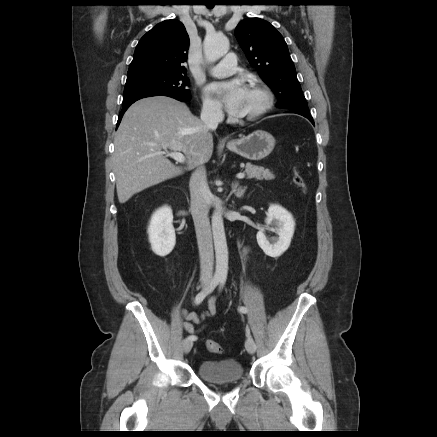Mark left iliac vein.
<instances>
[{
    "instance_id": "left-iliac-vein-1",
    "label": "left iliac vein",
    "mask_w": 437,
    "mask_h": 437,
    "mask_svg": "<svg viewBox=\"0 0 437 437\" xmlns=\"http://www.w3.org/2000/svg\"><path fill=\"white\" fill-rule=\"evenodd\" d=\"M245 348L248 353L254 354L256 351V345L250 335L247 336V340L245 342Z\"/></svg>"
}]
</instances>
